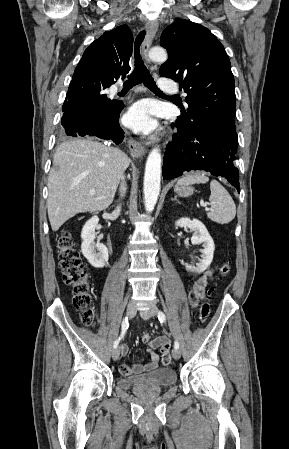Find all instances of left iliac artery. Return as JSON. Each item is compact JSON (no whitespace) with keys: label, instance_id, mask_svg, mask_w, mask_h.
<instances>
[{"label":"left iliac artery","instance_id":"44dca946","mask_svg":"<svg viewBox=\"0 0 289 449\" xmlns=\"http://www.w3.org/2000/svg\"><path fill=\"white\" fill-rule=\"evenodd\" d=\"M158 319H159V321H160L161 323H165L166 317H165V314H164L162 311H158ZM174 348H175V349H179V343H178V341H175V342H174Z\"/></svg>","mask_w":289,"mask_h":449}]
</instances>
